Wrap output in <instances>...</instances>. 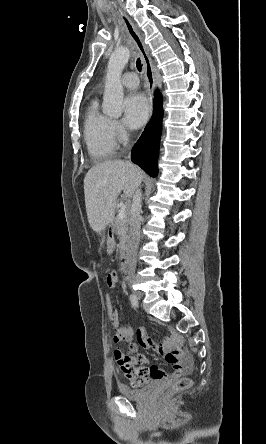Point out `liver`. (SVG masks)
I'll return each mask as SVG.
<instances>
[{
    "instance_id": "obj_1",
    "label": "liver",
    "mask_w": 266,
    "mask_h": 444,
    "mask_svg": "<svg viewBox=\"0 0 266 444\" xmlns=\"http://www.w3.org/2000/svg\"><path fill=\"white\" fill-rule=\"evenodd\" d=\"M143 178L142 170L129 161L112 160L93 166L84 178L88 221L99 235L115 216L116 199L121 191L131 198Z\"/></svg>"
}]
</instances>
